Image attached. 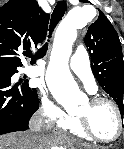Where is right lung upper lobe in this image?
<instances>
[{
	"instance_id": "cb5924a9",
	"label": "right lung upper lobe",
	"mask_w": 124,
	"mask_h": 149,
	"mask_svg": "<svg viewBox=\"0 0 124 149\" xmlns=\"http://www.w3.org/2000/svg\"><path fill=\"white\" fill-rule=\"evenodd\" d=\"M49 18L36 0H9L0 8V68L23 65L20 54L31 56L44 40Z\"/></svg>"
}]
</instances>
